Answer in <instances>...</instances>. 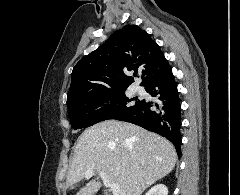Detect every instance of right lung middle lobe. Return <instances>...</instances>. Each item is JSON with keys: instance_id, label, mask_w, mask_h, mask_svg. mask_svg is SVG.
<instances>
[{"instance_id": "dd1d6c3e", "label": "right lung middle lobe", "mask_w": 240, "mask_h": 195, "mask_svg": "<svg viewBox=\"0 0 240 195\" xmlns=\"http://www.w3.org/2000/svg\"><path fill=\"white\" fill-rule=\"evenodd\" d=\"M125 96V90L100 97H84L67 105L68 116L73 129L86 128L98 122L114 119L136 107L140 101L132 102Z\"/></svg>"}]
</instances>
